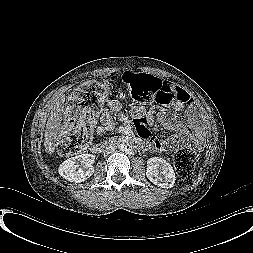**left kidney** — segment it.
I'll list each match as a JSON object with an SVG mask.
<instances>
[{"instance_id": "1", "label": "left kidney", "mask_w": 253, "mask_h": 253, "mask_svg": "<svg viewBox=\"0 0 253 253\" xmlns=\"http://www.w3.org/2000/svg\"><path fill=\"white\" fill-rule=\"evenodd\" d=\"M146 176L153 184L161 188L173 187L176 180L171 164L160 157H151L147 161Z\"/></svg>"}]
</instances>
